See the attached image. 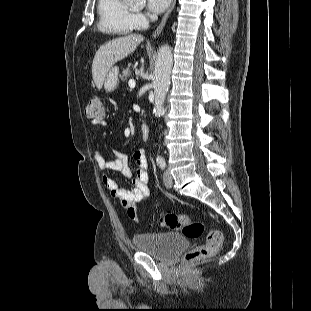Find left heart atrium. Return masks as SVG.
<instances>
[{
  "mask_svg": "<svg viewBox=\"0 0 311 311\" xmlns=\"http://www.w3.org/2000/svg\"><path fill=\"white\" fill-rule=\"evenodd\" d=\"M170 2L171 0H147V8L150 13L158 14L163 12Z\"/></svg>",
  "mask_w": 311,
  "mask_h": 311,
  "instance_id": "39dd6f15",
  "label": "left heart atrium"
}]
</instances>
